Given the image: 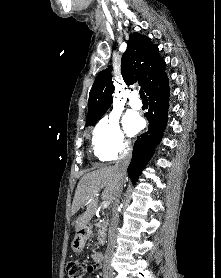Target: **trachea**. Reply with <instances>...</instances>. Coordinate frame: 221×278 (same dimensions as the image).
Returning a JSON list of instances; mask_svg holds the SVG:
<instances>
[{"instance_id": "trachea-1", "label": "trachea", "mask_w": 221, "mask_h": 278, "mask_svg": "<svg viewBox=\"0 0 221 278\" xmlns=\"http://www.w3.org/2000/svg\"><path fill=\"white\" fill-rule=\"evenodd\" d=\"M139 94H140V97H141L142 100H147V97L144 94V91L142 89H140Z\"/></svg>"}]
</instances>
